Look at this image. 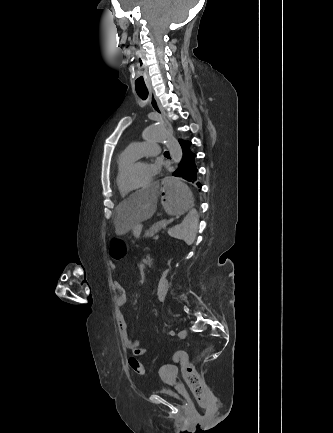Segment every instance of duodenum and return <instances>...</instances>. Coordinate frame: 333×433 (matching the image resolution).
Returning <instances> with one entry per match:
<instances>
[{
	"label": "duodenum",
	"mask_w": 333,
	"mask_h": 433,
	"mask_svg": "<svg viewBox=\"0 0 333 433\" xmlns=\"http://www.w3.org/2000/svg\"><path fill=\"white\" fill-rule=\"evenodd\" d=\"M146 260H147V262L150 264L151 263V258L148 256L147 258H146Z\"/></svg>",
	"instance_id": "obj_1"
}]
</instances>
